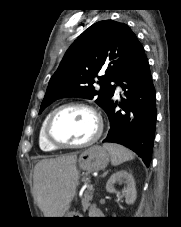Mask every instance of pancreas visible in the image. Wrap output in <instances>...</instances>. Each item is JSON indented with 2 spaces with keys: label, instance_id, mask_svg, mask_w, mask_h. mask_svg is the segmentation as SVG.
I'll list each match as a JSON object with an SVG mask.
<instances>
[{
  "label": "pancreas",
  "instance_id": "cf45deb5",
  "mask_svg": "<svg viewBox=\"0 0 181 227\" xmlns=\"http://www.w3.org/2000/svg\"><path fill=\"white\" fill-rule=\"evenodd\" d=\"M93 191L94 189H88V191L85 193L84 198L82 199L83 211H86L89 208L91 204L90 201H92L93 198Z\"/></svg>",
  "mask_w": 181,
  "mask_h": 227
}]
</instances>
